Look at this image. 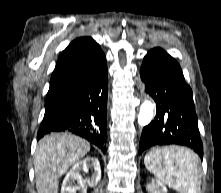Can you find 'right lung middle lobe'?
I'll return each instance as SVG.
<instances>
[{
  "mask_svg": "<svg viewBox=\"0 0 221 193\" xmlns=\"http://www.w3.org/2000/svg\"><path fill=\"white\" fill-rule=\"evenodd\" d=\"M65 109V100L47 101L45 102L44 119H48Z\"/></svg>",
  "mask_w": 221,
  "mask_h": 193,
  "instance_id": "right-lung-middle-lobe-1",
  "label": "right lung middle lobe"
}]
</instances>
